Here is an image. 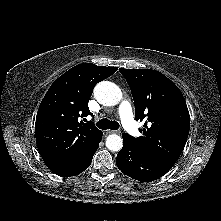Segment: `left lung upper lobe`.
I'll return each instance as SVG.
<instances>
[{"mask_svg":"<svg viewBox=\"0 0 221 221\" xmlns=\"http://www.w3.org/2000/svg\"><path fill=\"white\" fill-rule=\"evenodd\" d=\"M135 103V119L147 120L143 136L125 133L140 150L173 166L185 146L190 116L179 88L162 73L150 69H124Z\"/></svg>","mask_w":221,"mask_h":221,"instance_id":"obj_1","label":"left lung upper lobe"}]
</instances>
